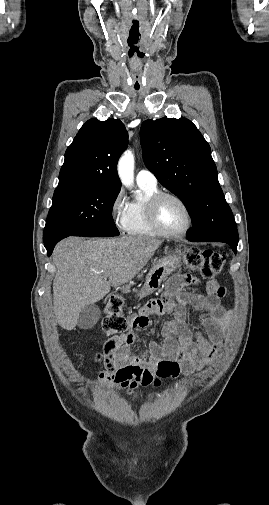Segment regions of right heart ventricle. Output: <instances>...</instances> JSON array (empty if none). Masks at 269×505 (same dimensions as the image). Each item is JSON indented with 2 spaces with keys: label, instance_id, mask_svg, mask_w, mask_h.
Masks as SVG:
<instances>
[{
  "label": "right heart ventricle",
  "instance_id": "obj_1",
  "mask_svg": "<svg viewBox=\"0 0 269 505\" xmlns=\"http://www.w3.org/2000/svg\"><path fill=\"white\" fill-rule=\"evenodd\" d=\"M139 187L142 191V196L128 203L127 220L124 230L131 236H158L159 234L151 227L146 212V203L151 196L159 192L158 188L157 186H149L146 184H139Z\"/></svg>",
  "mask_w": 269,
  "mask_h": 505
}]
</instances>
